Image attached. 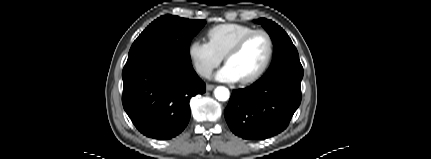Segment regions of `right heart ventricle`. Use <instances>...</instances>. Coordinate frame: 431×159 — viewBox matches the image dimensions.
<instances>
[{
  "label": "right heart ventricle",
  "mask_w": 431,
  "mask_h": 159,
  "mask_svg": "<svg viewBox=\"0 0 431 159\" xmlns=\"http://www.w3.org/2000/svg\"><path fill=\"white\" fill-rule=\"evenodd\" d=\"M254 28L238 24L226 23L210 28L207 37L212 48L222 57L226 52L245 34L253 31Z\"/></svg>",
  "instance_id": "obj_1"
}]
</instances>
